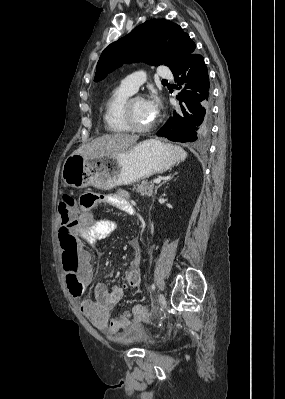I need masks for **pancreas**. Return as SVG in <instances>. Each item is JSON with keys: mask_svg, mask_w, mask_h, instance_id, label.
Segmentation results:
<instances>
[{"mask_svg": "<svg viewBox=\"0 0 285 399\" xmlns=\"http://www.w3.org/2000/svg\"><path fill=\"white\" fill-rule=\"evenodd\" d=\"M157 189L154 183H148L147 181H143L141 184L134 185L133 190L136 193H139L141 196H152L154 190Z\"/></svg>", "mask_w": 285, "mask_h": 399, "instance_id": "cf45deb5", "label": "pancreas"}]
</instances>
